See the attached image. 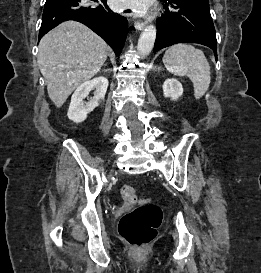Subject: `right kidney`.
<instances>
[{
	"label": "right kidney",
	"mask_w": 261,
	"mask_h": 273,
	"mask_svg": "<svg viewBox=\"0 0 261 273\" xmlns=\"http://www.w3.org/2000/svg\"><path fill=\"white\" fill-rule=\"evenodd\" d=\"M108 88V79L103 76L81 84L73 93L67 116L75 123L83 122L87 115L92 112L103 101ZM92 89H96L93 98L85 103L83 100L89 95Z\"/></svg>",
	"instance_id": "ca27d5eb"
}]
</instances>
